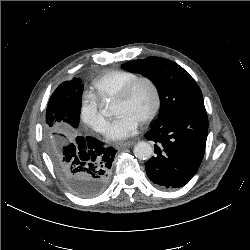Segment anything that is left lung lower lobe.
Masks as SVG:
<instances>
[{
	"label": "left lung lower lobe",
	"mask_w": 250,
	"mask_h": 250,
	"mask_svg": "<svg viewBox=\"0 0 250 250\" xmlns=\"http://www.w3.org/2000/svg\"><path fill=\"white\" fill-rule=\"evenodd\" d=\"M205 107L192 108L154 123L145 138L155 142V157L145 164L148 178L173 189L186 185L197 172L206 147Z\"/></svg>",
	"instance_id": "0a47b994"
}]
</instances>
